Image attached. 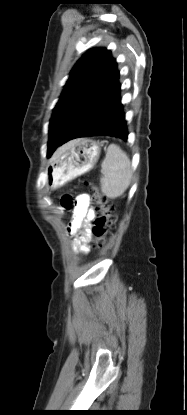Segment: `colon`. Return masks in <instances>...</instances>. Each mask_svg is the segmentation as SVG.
Returning a JSON list of instances; mask_svg holds the SVG:
<instances>
[{
  "instance_id": "obj_1",
  "label": "colon",
  "mask_w": 187,
  "mask_h": 415,
  "mask_svg": "<svg viewBox=\"0 0 187 415\" xmlns=\"http://www.w3.org/2000/svg\"><path fill=\"white\" fill-rule=\"evenodd\" d=\"M91 195L97 204L98 216L93 222L90 229L96 243L102 245L107 236L115 228V222L113 220L114 206L112 200L102 194L96 186L91 187ZM72 203V198L66 195L62 198V204L69 207Z\"/></svg>"
}]
</instances>
